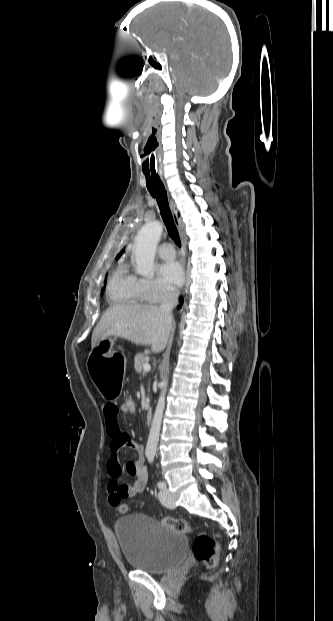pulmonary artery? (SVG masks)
<instances>
[{
  "label": "pulmonary artery",
  "mask_w": 333,
  "mask_h": 621,
  "mask_svg": "<svg viewBox=\"0 0 333 621\" xmlns=\"http://www.w3.org/2000/svg\"><path fill=\"white\" fill-rule=\"evenodd\" d=\"M158 254L161 258L169 260L174 258L175 250L171 243L165 242L159 246Z\"/></svg>",
  "instance_id": "obj_1"
}]
</instances>
